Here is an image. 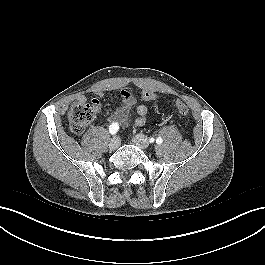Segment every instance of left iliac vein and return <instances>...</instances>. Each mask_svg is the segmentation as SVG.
<instances>
[{
  "mask_svg": "<svg viewBox=\"0 0 265 265\" xmlns=\"http://www.w3.org/2000/svg\"><path fill=\"white\" fill-rule=\"evenodd\" d=\"M133 143L140 147L143 150L148 149L149 147V140L148 138L143 134H137L132 139Z\"/></svg>",
  "mask_w": 265,
  "mask_h": 265,
  "instance_id": "4c4485c4",
  "label": "left iliac vein"
}]
</instances>
